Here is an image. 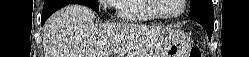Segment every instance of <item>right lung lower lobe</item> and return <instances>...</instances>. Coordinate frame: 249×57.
<instances>
[{
  "label": "right lung lower lobe",
  "mask_w": 249,
  "mask_h": 57,
  "mask_svg": "<svg viewBox=\"0 0 249 57\" xmlns=\"http://www.w3.org/2000/svg\"><path fill=\"white\" fill-rule=\"evenodd\" d=\"M79 0H45L44 7L41 15V25L45 23L47 18L51 16L58 9L72 3L81 4Z\"/></svg>",
  "instance_id": "1"
}]
</instances>
